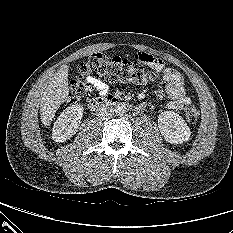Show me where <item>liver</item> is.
<instances>
[{
  "label": "liver",
  "instance_id": "liver-1",
  "mask_svg": "<svg viewBox=\"0 0 233 233\" xmlns=\"http://www.w3.org/2000/svg\"><path fill=\"white\" fill-rule=\"evenodd\" d=\"M68 93V66L64 65L50 80L41 100L40 117L44 126L51 123L60 105L67 98Z\"/></svg>",
  "mask_w": 233,
  "mask_h": 233
}]
</instances>
